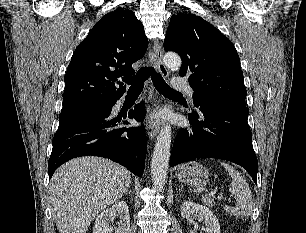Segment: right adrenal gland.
I'll return each instance as SVG.
<instances>
[{"label": "right adrenal gland", "instance_id": "1", "mask_svg": "<svg viewBox=\"0 0 306 233\" xmlns=\"http://www.w3.org/2000/svg\"><path fill=\"white\" fill-rule=\"evenodd\" d=\"M126 194H129V195H132V191H131V188L129 187Z\"/></svg>", "mask_w": 306, "mask_h": 233}]
</instances>
